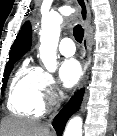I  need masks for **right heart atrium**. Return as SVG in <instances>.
Here are the masks:
<instances>
[{
    "mask_svg": "<svg viewBox=\"0 0 117 136\" xmlns=\"http://www.w3.org/2000/svg\"><path fill=\"white\" fill-rule=\"evenodd\" d=\"M54 90H55V82L53 77L50 74L43 72L41 79L42 93L52 95L54 93Z\"/></svg>",
    "mask_w": 117,
    "mask_h": 136,
    "instance_id": "1",
    "label": "right heart atrium"
}]
</instances>
